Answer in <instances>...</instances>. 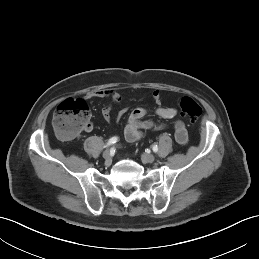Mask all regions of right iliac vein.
I'll return each instance as SVG.
<instances>
[{
  "label": "right iliac vein",
  "instance_id": "1",
  "mask_svg": "<svg viewBox=\"0 0 259 259\" xmlns=\"http://www.w3.org/2000/svg\"><path fill=\"white\" fill-rule=\"evenodd\" d=\"M103 158L105 159V165L110 166L112 163V157L109 150L103 152Z\"/></svg>",
  "mask_w": 259,
  "mask_h": 259
}]
</instances>
